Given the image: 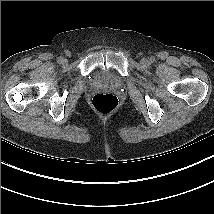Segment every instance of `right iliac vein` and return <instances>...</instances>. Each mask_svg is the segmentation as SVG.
<instances>
[{
	"instance_id": "obj_1",
	"label": "right iliac vein",
	"mask_w": 214,
	"mask_h": 214,
	"mask_svg": "<svg viewBox=\"0 0 214 214\" xmlns=\"http://www.w3.org/2000/svg\"><path fill=\"white\" fill-rule=\"evenodd\" d=\"M63 63H66V60H63Z\"/></svg>"
}]
</instances>
